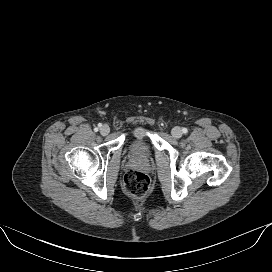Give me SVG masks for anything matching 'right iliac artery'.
Instances as JSON below:
<instances>
[{"instance_id":"obj_1","label":"right iliac artery","mask_w":272,"mask_h":272,"mask_svg":"<svg viewBox=\"0 0 272 272\" xmlns=\"http://www.w3.org/2000/svg\"><path fill=\"white\" fill-rule=\"evenodd\" d=\"M98 126H99V127H101V124H99ZM94 130H95V131H97V130H98V128H95Z\"/></svg>"}]
</instances>
